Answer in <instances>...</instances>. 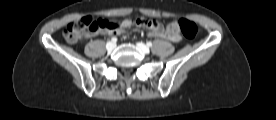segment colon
<instances>
[{
  "instance_id": "obj_1",
  "label": "colon",
  "mask_w": 276,
  "mask_h": 120,
  "mask_svg": "<svg viewBox=\"0 0 276 120\" xmlns=\"http://www.w3.org/2000/svg\"><path fill=\"white\" fill-rule=\"evenodd\" d=\"M136 23L140 26L149 27L152 23L151 19H138ZM123 24L113 23L105 19H93L91 17H83L79 20L71 22L64 30L63 36L69 43H76L82 37L98 32H114ZM167 32L175 34L181 32L187 39H194L197 35V25L190 20L181 19L179 21L170 22L167 25Z\"/></svg>"
}]
</instances>
